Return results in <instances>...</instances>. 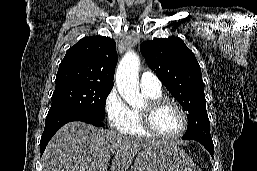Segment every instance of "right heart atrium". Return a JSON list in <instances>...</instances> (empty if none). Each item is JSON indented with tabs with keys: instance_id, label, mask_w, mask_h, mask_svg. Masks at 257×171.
<instances>
[{
	"instance_id": "1",
	"label": "right heart atrium",
	"mask_w": 257,
	"mask_h": 171,
	"mask_svg": "<svg viewBox=\"0 0 257 171\" xmlns=\"http://www.w3.org/2000/svg\"><path fill=\"white\" fill-rule=\"evenodd\" d=\"M104 110L110 126L123 132L129 122L130 108L116 88L111 89L107 94Z\"/></svg>"
}]
</instances>
